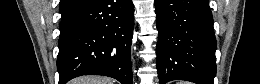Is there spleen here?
Masks as SVG:
<instances>
[{"label": "spleen", "instance_id": "3e777b00", "mask_svg": "<svg viewBox=\"0 0 260 84\" xmlns=\"http://www.w3.org/2000/svg\"><path fill=\"white\" fill-rule=\"evenodd\" d=\"M178 84H188L187 82H179Z\"/></svg>", "mask_w": 260, "mask_h": 84}]
</instances>
